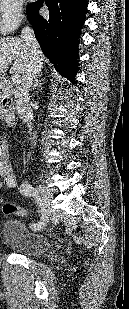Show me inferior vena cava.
Returning <instances> with one entry per match:
<instances>
[{"label":"inferior vena cava","mask_w":129,"mask_h":309,"mask_svg":"<svg viewBox=\"0 0 129 309\" xmlns=\"http://www.w3.org/2000/svg\"><path fill=\"white\" fill-rule=\"evenodd\" d=\"M21 40L24 42L29 55V66L26 72L23 74L22 81L18 87L15 98L16 108L20 118L23 122H26L29 127L32 125L33 113L30 104L29 91L33 83L40 75L41 64V50L40 46L35 38L34 30L29 26H26L21 31ZM32 139H36L33 135ZM35 144V140L32 141Z\"/></svg>","instance_id":"inferior-vena-cava-1"}]
</instances>
